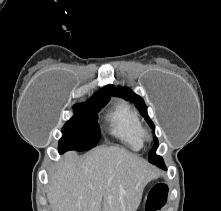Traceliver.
<instances>
[{
	"mask_svg": "<svg viewBox=\"0 0 221 211\" xmlns=\"http://www.w3.org/2000/svg\"><path fill=\"white\" fill-rule=\"evenodd\" d=\"M158 172L143 158L116 146L83 157L68 152L50 173L52 211H136Z\"/></svg>",
	"mask_w": 221,
	"mask_h": 211,
	"instance_id": "obj_1",
	"label": "liver"
}]
</instances>
